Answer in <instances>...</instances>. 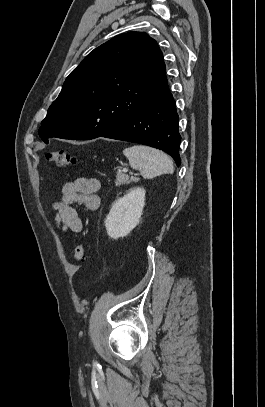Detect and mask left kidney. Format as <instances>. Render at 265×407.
I'll list each match as a JSON object with an SVG mask.
<instances>
[{
  "mask_svg": "<svg viewBox=\"0 0 265 407\" xmlns=\"http://www.w3.org/2000/svg\"><path fill=\"white\" fill-rule=\"evenodd\" d=\"M145 206V189L130 190L111 207L105 220L107 234L112 239L127 236L140 222Z\"/></svg>",
  "mask_w": 265,
  "mask_h": 407,
  "instance_id": "5707ae66",
  "label": "left kidney"
}]
</instances>
